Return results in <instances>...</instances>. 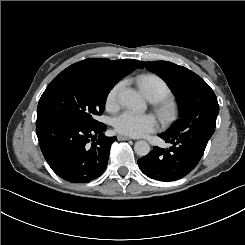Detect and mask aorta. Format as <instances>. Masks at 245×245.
Listing matches in <instances>:
<instances>
[{"label":"aorta","instance_id":"aorta-1","mask_svg":"<svg viewBox=\"0 0 245 245\" xmlns=\"http://www.w3.org/2000/svg\"><path fill=\"white\" fill-rule=\"evenodd\" d=\"M119 97L121 102L131 109L143 110L146 107L142 96L135 90L123 89ZM134 150L137 155L146 156L150 152V145L140 140L135 143Z\"/></svg>","mask_w":245,"mask_h":245}]
</instances>
